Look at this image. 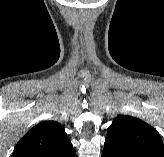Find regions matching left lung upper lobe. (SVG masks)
<instances>
[{
    "mask_svg": "<svg viewBox=\"0 0 164 157\" xmlns=\"http://www.w3.org/2000/svg\"><path fill=\"white\" fill-rule=\"evenodd\" d=\"M106 140L135 157H164V144L157 130L132 116H117L108 128Z\"/></svg>",
    "mask_w": 164,
    "mask_h": 157,
    "instance_id": "5c2ea615",
    "label": "left lung upper lobe"
}]
</instances>
